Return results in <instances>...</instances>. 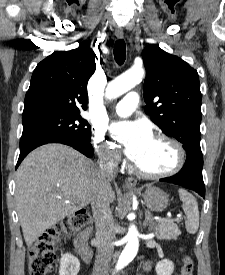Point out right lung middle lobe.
Returning <instances> with one entry per match:
<instances>
[{"mask_svg":"<svg viewBox=\"0 0 225 275\" xmlns=\"http://www.w3.org/2000/svg\"><path fill=\"white\" fill-rule=\"evenodd\" d=\"M23 133L44 132L90 143L91 126L80 111L40 112L23 116Z\"/></svg>","mask_w":225,"mask_h":275,"instance_id":"obj_1","label":"right lung middle lobe"}]
</instances>
